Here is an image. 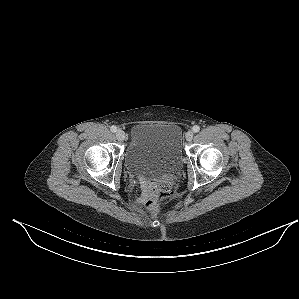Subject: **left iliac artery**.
Masks as SVG:
<instances>
[{"mask_svg": "<svg viewBox=\"0 0 299 299\" xmlns=\"http://www.w3.org/2000/svg\"><path fill=\"white\" fill-rule=\"evenodd\" d=\"M193 132L197 133L200 131V127L198 125L193 126L192 128Z\"/></svg>", "mask_w": 299, "mask_h": 299, "instance_id": "left-iliac-artery-1", "label": "left iliac artery"}]
</instances>
